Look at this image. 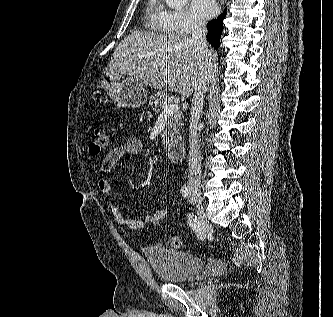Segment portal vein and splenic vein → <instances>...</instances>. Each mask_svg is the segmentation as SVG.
<instances>
[{
    "label": "portal vein and splenic vein",
    "mask_w": 333,
    "mask_h": 317,
    "mask_svg": "<svg viewBox=\"0 0 333 317\" xmlns=\"http://www.w3.org/2000/svg\"><path fill=\"white\" fill-rule=\"evenodd\" d=\"M179 110V106L177 104H169V105H165L163 110H162V115L168 116V115H172L173 113L178 112Z\"/></svg>",
    "instance_id": "obj_1"
}]
</instances>
